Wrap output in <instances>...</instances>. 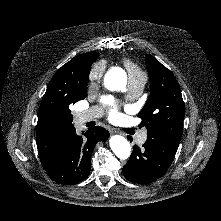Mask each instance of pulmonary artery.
<instances>
[{
    "label": "pulmonary artery",
    "mask_w": 221,
    "mask_h": 221,
    "mask_svg": "<svg viewBox=\"0 0 221 221\" xmlns=\"http://www.w3.org/2000/svg\"><path fill=\"white\" fill-rule=\"evenodd\" d=\"M145 83H146V76L144 73H139L130 76L128 81L129 97L134 98L139 96L144 89ZM100 115L101 114L98 109L92 108L79 113L76 120L77 123L81 125L99 117ZM146 138H147V133L146 131H143L138 136L137 142L139 144H143L146 141Z\"/></svg>",
    "instance_id": "pulmonary-artery-1"
}]
</instances>
